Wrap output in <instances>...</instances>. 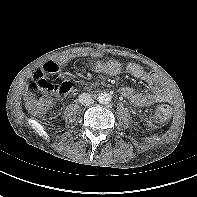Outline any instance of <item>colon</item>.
Listing matches in <instances>:
<instances>
[{"label":"colon","instance_id":"colon-1","mask_svg":"<svg viewBox=\"0 0 197 197\" xmlns=\"http://www.w3.org/2000/svg\"><path fill=\"white\" fill-rule=\"evenodd\" d=\"M71 89V83H51L43 77L37 78L29 86L27 105L34 113H43L50 105L48 93L67 94ZM172 109L169 105L163 104L155 109L154 117L160 122H166L171 118Z\"/></svg>","mask_w":197,"mask_h":197}]
</instances>
